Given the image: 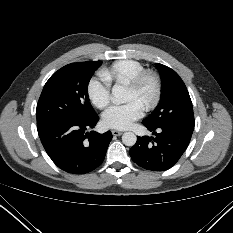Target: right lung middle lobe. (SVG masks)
I'll return each mask as SVG.
<instances>
[{
	"label": "right lung middle lobe",
	"mask_w": 233,
	"mask_h": 233,
	"mask_svg": "<svg viewBox=\"0 0 233 233\" xmlns=\"http://www.w3.org/2000/svg\"><path fill=\"white\" fill-rule=\"evenodd\" d=\"M101 61L68 64L46 82L39 98L37 126L49 121H80L96 113L89 103L88 84Z\"/></svg>",
	"instance_id": "right-lung-middle-lobe-1"
}]
</instances>
